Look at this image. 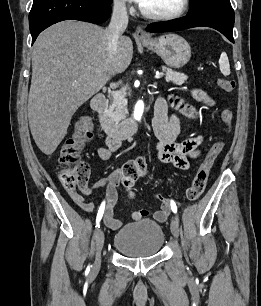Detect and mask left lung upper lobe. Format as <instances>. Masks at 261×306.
Returning <instances> with one entry per match:
<instances>
[{
	"instance_id": "obj_1",
	"label": "left lung upper lobe",
	"mask_w": 261,
	"mask_h": 306,
	"mask_svg": "<svg viewBox=\"0 0 261 306\" xmlns=\"http://www.w3.org/2000/svg\"><path fill=\"white\" fill-rule=\"evenodd\" d=\"M230 7V0H190L189 14H199Z\"/></svg>"
}]
</instances>
